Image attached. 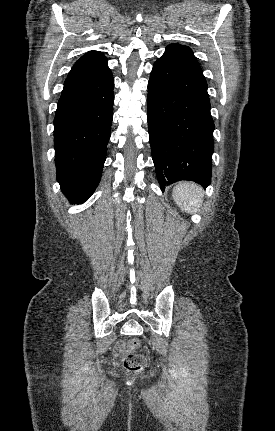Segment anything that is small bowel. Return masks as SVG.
<instances>
[{
    "label": "small bowel",
    "instance_id": "obj_1",
    "mask_svg": "<svg viewBox=\"0 0 275 431\" xmlns=\"http://www.w3.org/2000/svg\"><path fill=\"white\" fill-rule=\"evenodd\" d=\"M124 356V352H123V344H118L115 347V357L117 359H121Z\"/></svg>",
    "mask_w": 275,
    "mask_h": 431
}]
</instances>
